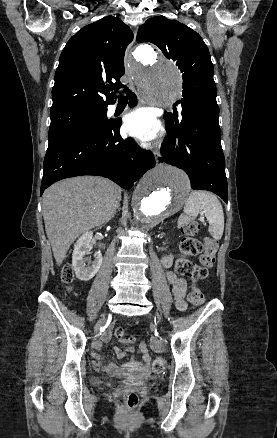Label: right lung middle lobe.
<instances>
[{"label":"right lung middle lobe","mask_w":277,"mask_h":438,"mask_svg":"<svg viewBox=\"0 0 277 438\" xmlns=\"http://www.w3.org/2000/svg\"><path fill=\"white\" fill-rule=\"evenodd\" d=\"M49 142L64 134L85 128L100 127L107 118L105 109L81 108L64 112L50 113Z\"/></svg>","instance_id":"right-lung-middle-lobe-1"}]
</instances>
